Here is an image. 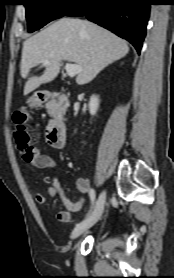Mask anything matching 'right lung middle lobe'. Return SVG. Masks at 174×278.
I'll list each match as a JSON object with an SVG mask.
<instances>
[{
    "instance_id": "1",
    "label": "right lung middle lobe",
    "mask_w": 174,
    "mask_h": 278,
    "mask_svg": "<svg viewBox=\"0 0 174 278\" xmlns=\"http://www.w3.org/2000/svg\"><path fill=\"white\" fill-rule=\"evenodd\" d=\"M78 0H24L28 32H33L51 20L64 16Z\"/></svg>"
}]
</instances>
